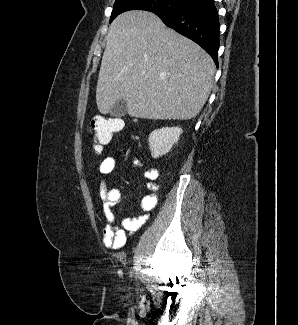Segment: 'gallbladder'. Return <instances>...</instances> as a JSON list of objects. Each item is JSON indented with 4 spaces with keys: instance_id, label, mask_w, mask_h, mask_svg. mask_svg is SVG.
Here are the masks:
<instances>
[{
    "instance_id": "1",
    "label": "gallbladder",
    "mask_w": 298,
    "mask_h": 325,
    "mask_svg": "<svg viewBox=\"0 0 298 325\" xmlns=\"http://www.w3.org/2000/svg\"><path fill=\"white\" fill-rule=\"evenodd\" d=\"M111 116H125L127 114V102H125L124 98H120V100H116L115 104L111 106L109 110Z\"/></svg>"
}]
</instances>
